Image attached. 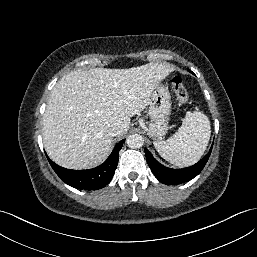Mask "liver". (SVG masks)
<instances>
[{
  "label": "liver",
  "mask_w": 257,
  "mask_h": 257,
  "mask_svg": "<svg viewBox=\"0 0 257 257\" xmlns=\"http://www.w3.org/2000/svg\"><path fill=\"white\" fill-rule=\"evenodd\" d=\"M174 68L148 63L129 69H78L51 91L43 116L48 156L69 169L102 163L112 147V128L129 130L130 118L143 111L154 88Z\"/></svg>",
  "instance_id": "6515ba94"
}]
</instances>
